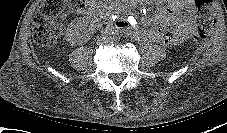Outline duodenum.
I'll list each match as a JSON object with an SVG mask.
<instances>
[{"mask_svg":"<svg viewBox=\"0 0 227 133\" xmlns=\"http://www.w3.org/2000/svg\"><path fill=\"white\" fill-rule=\"evenodd\" d=\"M101 29L104 32H113V31H121L125 28H124V24L120 21L107 20L102 23Z\"/></svg>","mask_w":227,"mask_h":133,"instance_id":"1","label":"duodenum"}]
</instances>
